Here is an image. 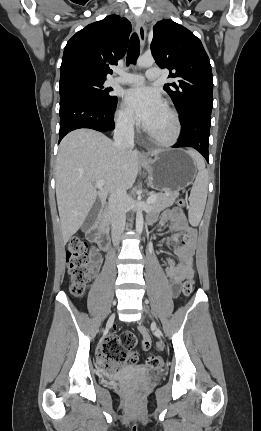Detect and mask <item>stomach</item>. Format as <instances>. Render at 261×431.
<instances>
[{"instance_id": "0dacf381", "label": "stomach", "mask_w": 261, "mask_h": 431, "mask_svg": "<svg viewBox=\"0 0 261 431\" xmlns=\"http://www.w3.org/2000/svg\"><path fill=\"white\" fill-rule=\"evenodd\" d=\"M141 163L149 174L148 184L153 189L179 191L197 176L196 162L182 150L159 151L154 158H141Z\"/></svg>"}]
</instances>
